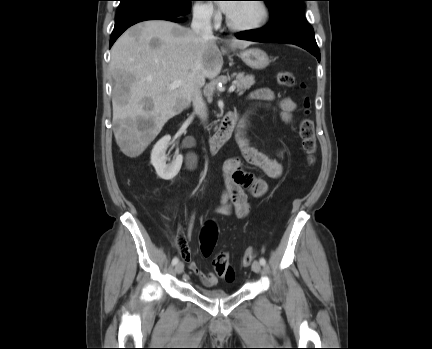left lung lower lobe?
<instances>
[{
    "mask_svg": "<svg viewBox=\"0 0 432 349\" xmlns=\"http://www.w3.org/2000/svg\"><path fill=\"white\" fill-rule=\"evenodd\" d=\"M236 37L255 42L294 44L309 51L320 61L314 30L307 22H273L261 29L239 32Z\"/></svg>",
    "mask_w": 432,
    "mask_h": 349,
    "instance_id": "left-lung-lower-lobe-1",
    "label": "left lung lower lobe"
}]
</instances>
